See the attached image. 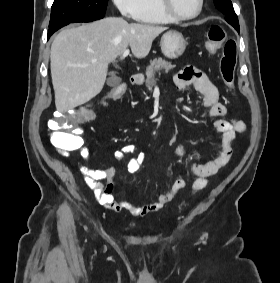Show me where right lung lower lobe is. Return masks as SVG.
Returning a JSON list of instances; mask_svg holds the SVG:
<instances>
[{
    "instance_id": "right-lung-lower-lobe-1",
    "label": "right lung lower lobe",
    "mask_w": 280,
    "mask_h": 283,
    "mask_svg": "<svg viewBox=\"0 0 280 283\" xmlns=\"http://www.w3.org/2000/svg\"><path fill=\"white\" fill-rule=\"evenodd\" d=\"M65 26V25H64ZM63 26H59V27H56L52 30L49 31V34L47 36V38H49L54 32H56L58 29L62 28Z\"/></svg>"
}]
</instances>
